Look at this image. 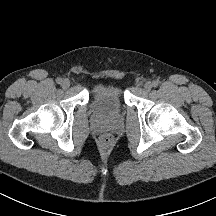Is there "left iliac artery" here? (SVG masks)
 I'll return each mask as SVG.
<instances>
[{
	"label": "left iliac artery",
	"instance_id": "left-iliac-artery-1",
	"mask_svg": "<svg viewBox=\"0 0 216 216\" xmlns=\"http://www.w3.org/2000/svg\"><path fill=\"white\" fill-rule=\"evenodd\" d=\"M159 85V81L158 80H154L153 82H152V86L153 87H157Z\"/></svg>",
	"mask_w": 216,
	"mask_h": 216
}]
</instances>
